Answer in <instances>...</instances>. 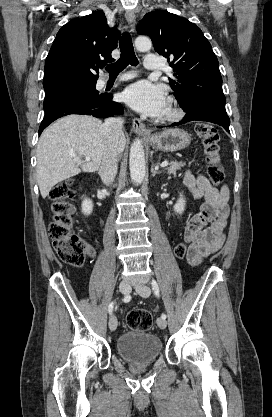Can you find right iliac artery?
<instances>
[{"mask_svg": "<svg viewBox=\"0 0 272 417\" xmlns=\"http://www.w3.org/2000/svg\"><path fill=\"white\" fill-rule=\"evenodd\" d=\"M131 300V296L130 295H125L124 298L122 299L123 302H129ZM113 308H114V302H111L108 306V312L109 314H112L113 312Z\"/></svg>", "mask_w": 272, "mask_h": 417, "instance_id": "obj_1", "label": "right iliac artery"}]
</instances>
